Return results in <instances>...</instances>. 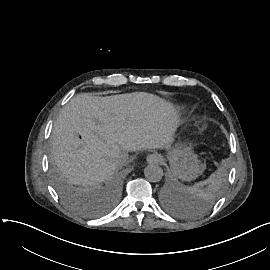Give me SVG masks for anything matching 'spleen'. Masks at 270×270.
Returning a JSON list of instances; mask_svg holds the SVG:
<instances>
[{"mask_svg": "<svg viewBox=\"0 0 270 270\" xmlns=\"http://www.w3.org/2000/svg\"><path fill=\"white\" fill-rule=\"evenodd\" d=\"M224 177L225 174L222 171L216 170L210 175L208 179L196 183L193 186H185L181 191V194L176 196L184 203V205H188L190 202H196L195 199L199 195V185L208 184L210 186L218 187L221 182L224 181Z\"/></svg>", "mask_w": 270, "mask_h": 270, "instance_id": "spleen-1", "label": "spleen"}]
</instances>
